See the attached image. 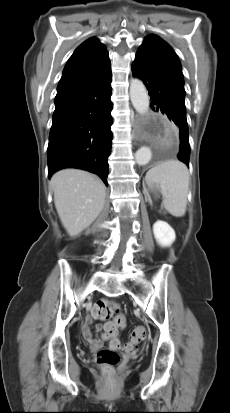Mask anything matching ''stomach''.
<instances>
[{
  "label": "stomach",
  "mask_w": 230,
  "mask_h": 413,
  "mask_svg": "<svg viewBox=\"0 0 230 413\" xmlns=\"http://www.w3.org/2000/svg\"><path fill=\"white\" fill-rule=\"evenodd\" d=\"M158 190L159 188L155 184H147V188L145 189V192L152 193L154 197H158Z\"/></svg>",
  "instance_id": "1"
}]
</instances>
